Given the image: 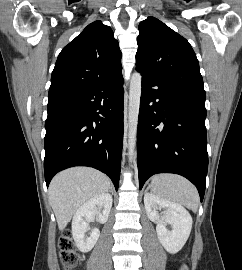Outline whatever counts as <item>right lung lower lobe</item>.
<instances>
[{"instance_id": "obj_1", "label": "right lung lower lobe", "mask_w": 242, "mask_h": 270, "mask_svg": "<svg viewBox=\"0 0 242 270\" xmlns=\"http://www.w3.org/2000/svg\"><path fill=\"white\" fill-rule=\"evenodd\" d=\"M123 77L119 72L75 94L48 101L44 173L73 166L106 173L119 185L123 143Z\"/></svg>"}]
</instances>
